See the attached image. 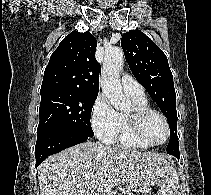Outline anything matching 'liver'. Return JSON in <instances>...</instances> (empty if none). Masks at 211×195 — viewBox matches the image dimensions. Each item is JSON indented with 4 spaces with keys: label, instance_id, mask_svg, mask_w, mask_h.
Returning <instances> with one entry per match:
<instances>
[{
    "label": "liver",
    "instance_id": "1",
    "mask_svg": "<svg viewBox=\"0 0 211 195\" xmlns=\"http://www.w3.org/2000/svg\"><path fill=\"white\" fill-rule=\"evenodd\" d=\"M166 169L161 154L87 141L44 160L38 181L41 195H103L118 184L148 192Z\"/></svg>",
    "mask_w": 211,
    "mask_h": 195
}]
</instances>
